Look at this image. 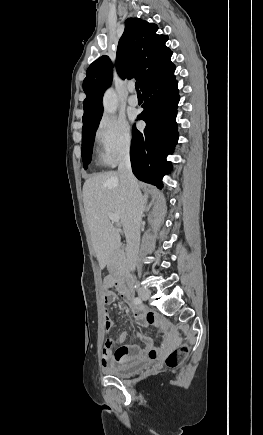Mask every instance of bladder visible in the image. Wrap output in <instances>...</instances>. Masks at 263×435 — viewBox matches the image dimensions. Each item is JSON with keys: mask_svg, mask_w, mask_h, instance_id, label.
<instances>
[{"mask_svg": "<svg viewBox=\"0 0 263 435\" xmlns=\"http://www.w3.org/2000/svg\"><path fill=\"white\" fill-rule=\"evenodd\" d=\"M149 363L150 361L148 360H140L133 363L117 364L108 367L105 371L112 376L126 378L136 374L144 367H146Z\"/></svg>", "mask_w": 263, "mask_h": 435, "instance_id": "obj_1", "label": "bladder"}]
</instances>
